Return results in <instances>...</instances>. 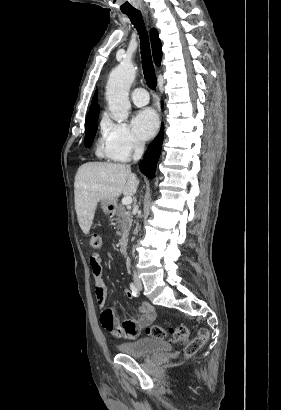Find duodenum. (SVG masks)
<instances>
[{"label": "duodenum", "mask_w": 281, "mask_h": 410, "mask_svg": "<svg viewBox=\"0 0 281 410\" xmlns=\"http://www.w3.org/2000/svg\"><path fill=\"white\" fill-rule=\"evenodd\" d=\"M127 244H128V240L126 238L120 239V241H119V250L122 254H126Z\"/></svg>", "instance_id": "duodenum-1"}]
</instances>
